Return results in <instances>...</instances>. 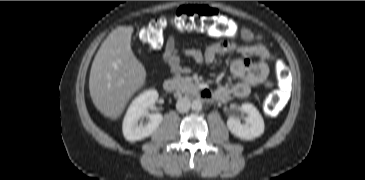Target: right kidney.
<instances>
[{
	"label": "right kidney",
	"mask_w": 365,
	"mask_h": 180,
	"mask_svg": "<svg viewBox=\"0 0 365 180\" xmlns=\"http://www.w3.org/2000/svg\"><path fill=\"white\" fill-rule=\"evenodd\" d=\"M158 92L154 89L147 90L136 97L129 106L123 121L124 137L131 142L142 140L154 133L163 120L159 113L148 114V107L158 100ZM148 118L146 124L139 123L143 117Z\"/></svg>",
	"instance_id": "obj_1"
}]
</instances>
